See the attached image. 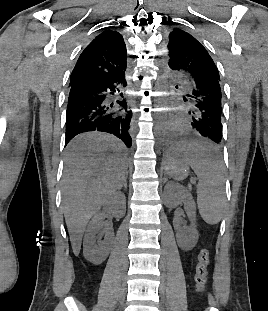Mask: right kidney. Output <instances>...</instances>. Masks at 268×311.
Here are the masks:
<instances>
[{
    "instance_id": "obj_1",
    "label": "right kidney",
    "mask_w": 268,
    "mask_h": 311,
    "mask_svg": "<svg viewBox=\"0 0 268 311\" xmlns=\"http://www.w3.org/2000/svg\"><path fill=\"white\" fill-rule=\"evenodd\" d=\"M126 212V200L124 194L116 192L104 204L103 211L94 215L87 227L84 241L83 254L84 257L93 264H101L109 255L110 245L113 239V232L109 229L105 239L97 243V239L101 236V230L104 226L105 213L112 214L116 217H123Z\"/></svg>"
}]
</instances>
